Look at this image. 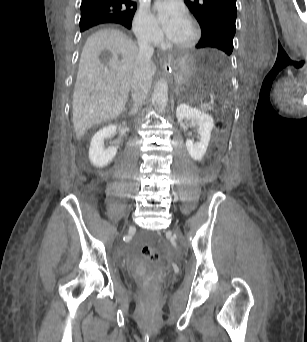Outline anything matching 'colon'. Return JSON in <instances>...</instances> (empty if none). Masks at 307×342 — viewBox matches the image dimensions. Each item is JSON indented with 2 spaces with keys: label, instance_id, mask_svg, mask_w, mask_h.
I'll return each instance as SVG.
<instances>
[{
  "label": "colon",
  "instance_id": "1",
  "mask_svg": "<svg viewBox=\"0 0 307 342\" xmlns=\"http://www.w3.org/2000/svg\"><path fill=\"white\" fill-rule=\"evenodd\" d=\"M217 132H225L227 130V123L220 121L216 124ZM142 254L145 259L150 261L151 263H159L161 258L158 252L153 250L150 246L142 247Z\"/></svg>",
  "mask_w": 307,
  "mask_h": 342
}]
</instances>
